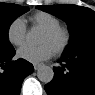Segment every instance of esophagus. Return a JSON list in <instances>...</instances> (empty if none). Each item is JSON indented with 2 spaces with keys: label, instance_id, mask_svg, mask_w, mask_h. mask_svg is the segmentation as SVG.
I'll list each match as a JSON object with an SVG mask.
<instances>
[{
  "label": "esophagus",
  "instance_id": "34e87169",
  "mask_svg": "<svg viewBox=\"0 0 95 95\" xmlns=\"http://www.w3.org/2000/svg\"><path fill=\"white\" fill-rule=\"evenodd\" d=\"M33 66H34V69H35V70H38L39 67L41 66V64H39V63H35V64H33Z\"/></svg>",
  "mask_w": 95,
  "mask_h": 95
}]
</instances>
